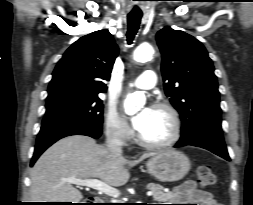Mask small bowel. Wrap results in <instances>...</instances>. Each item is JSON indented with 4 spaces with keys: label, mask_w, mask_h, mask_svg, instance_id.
<instances>
[{
    "label": "small bowel",
    "mask_w": 253,
    "mask_h": 205,
    "mask_svg": "<svg viewBox=\"0 0 253 205\" xmlns=\"http://www.w3.org/2000/svg\"><path fill=\"white\" fill-rule=\"evenodd\" d=\"M175 199L185 203H195L186 205H222L217 203L208 192L198 190L193 181L186 182L175 194Z\"/></svg>",
    "instance_id": "obj_1"
}]
</instances>
